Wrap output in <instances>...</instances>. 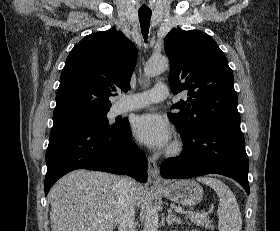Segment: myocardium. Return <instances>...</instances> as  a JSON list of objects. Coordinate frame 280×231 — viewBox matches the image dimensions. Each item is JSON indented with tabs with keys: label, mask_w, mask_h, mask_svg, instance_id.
<instances>
[{
	"label": "myocardium",
	"mask_w": 280,
	"mask_h": 231,
	"mask_svg": "<svg viewBox=\"0 0 280 231\" xmlns=\"http://www.w3.org/2000/svg\"><path fill=\"white\" fill-rule=\"evenodd\" d=\"M183 149V144L181 141H176L168 150V156L174 157L180 154Z\"/></svg>",
	"instance_id": "myocardium-1"
}]
</instances>
